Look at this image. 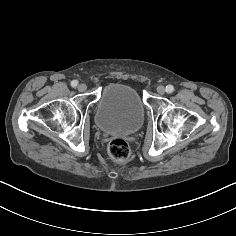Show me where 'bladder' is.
Masks as SVG:
<instances>
[{
    "label": "bladder",
    "instance_id": "31cf9c89",
    "mask_svg": "<svg viewBox=\"0 0 236 236\" xmlns=\"http://www.w3.org/2000/svg\"><path fill=\"white\" fill-rule=\"evenodd\" d=\"M143 121V104L132 86L110 83L103 88L95 113V124L99 130L133 133L142 126Z\"/></svg>",
    "mask_w": 236,
    "mask_h": 236
}]
</instances>
